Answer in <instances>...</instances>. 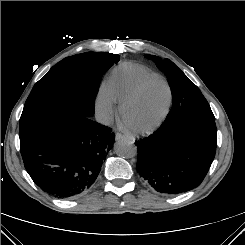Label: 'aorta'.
Returning <instances> with one entry per match:
<instances>
[{
    "label": "aorta",
    "instance_id": "aorta-1",
    "mask_svg": "<svg viewBox=\"0 0 245 245\" xmlns=\"http://www.w3.org/2000/svg\"><path fill=\"white\" fill-rule=\"evenodd\" d=\"M115 153L122 158H133L137 154L134 143L128 139H119L114 145Z\"/></svg>",
    "mask_w": 245,
    "mask_h": 245
}]
</instances>
